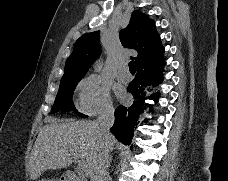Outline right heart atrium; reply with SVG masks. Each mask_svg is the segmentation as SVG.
<instances>
[{
  "mask_svg": "<svg viewBox=\"0 0 228 181\" xmlns=\"http://www.w3.org/2000/svg\"><path fill=\"white\" fill-rule=\"evenodd\" d=\"M80 108L89 115H99L112 110L110 89L100 77L90 76L84 81Z\"/></svg>",
  "mask_w": 228,
  "mask_h": 181,
  "instance_id": "right-heart-atrium-1",
  "label": "right heart atrium"
}]
</instances>
